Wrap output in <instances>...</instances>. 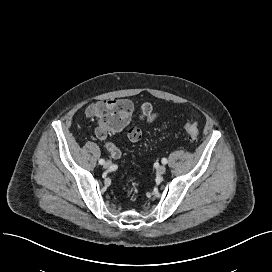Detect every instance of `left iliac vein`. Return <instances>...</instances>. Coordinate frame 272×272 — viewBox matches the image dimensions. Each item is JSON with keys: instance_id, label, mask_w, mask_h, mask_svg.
Returning <instances> with one entry per match:
<instances>
[{"instance_id": "4c4485c4", "label": "left iliac vein", "mask_w": 272, "mask_h": 272, "mask_svg": "<svg viewBox=\"0 0 272 272\" xmlns=\"http://www.w3.org/2000/svg\"><path fill=\"white\" fill-rule=\"evenodd\" d=\"M156 171L159 175H162L166 172V167L164 165H160L157 167Z\"/></svg>"}]
</instances>
